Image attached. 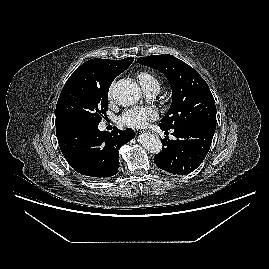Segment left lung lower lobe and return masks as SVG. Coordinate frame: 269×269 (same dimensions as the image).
I'll return each mask as SVG.
<instances>
[{
  "mask_svg": "<svg viewBox=\"0 0 269 269\" xmlns=\"http://www.w3.org/2000/svg\"><path fill=\"white\" fill-rule=\"evenodd\" d=\"M215 130L211 124L174 129L175 140H162L163 149L154 156L156 166L173 174L191 173L207 155Z\"/></svg>",
  "mask_w": 269,
  "mask_h": 269,
  "instance_id": "left-lung-lower-lobe-1",
  "label": "left lung lower lobe"
}]
</instances>
